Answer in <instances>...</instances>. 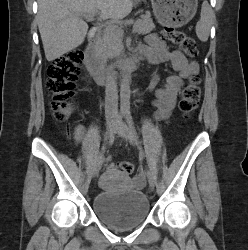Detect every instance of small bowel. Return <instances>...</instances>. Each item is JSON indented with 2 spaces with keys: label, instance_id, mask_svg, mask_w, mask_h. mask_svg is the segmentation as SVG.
I'll list each match as a JSON object with an SVG mask.
<instances>
[{
  "label": "small bowel",
  "instance_id": "obj_1",
  "mask_svg": "<svg viewBox=\"0 0 248 250\" xmlns=\"http://www.w3.org/2000/svg\"><path fill=\"white\" fill-rule=\"evenodd\" d=\"M139 52L150 63L170 62L179 75L169 76L162 88L155 90L153 106L156 117L167 120L176 104L178 93L184 81L199 72V65L196 61L187 58L180 50H169L166 42L157 34L147 37L146 45L139 48ZM156 82V76L152 78L151 84ZM85 130L83 125L75 127L74 137L77 142L84 140Z\"/></svg>",
  "mask_w": 248,
  "mask_h": 250
}]
</instances>
